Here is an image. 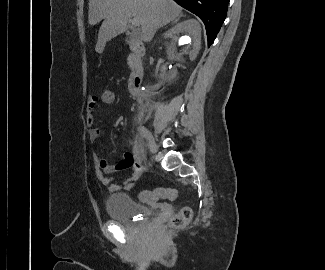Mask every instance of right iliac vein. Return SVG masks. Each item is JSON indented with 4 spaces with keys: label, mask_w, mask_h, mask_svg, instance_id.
<instances>
[{
    "label": "right iliac vein",
    "mask_w": 325,
    "mask_h": 270,
    "mask_svg": "<svg viewBox=\"0 0 325 270\" xmlns=\"http://www.w3.org/2000/svg\"><path fill=\"white\" fill-rule=\"evenodd\" d=\"M146 140L148 143V147L152 153H155L157 151V144L154 140V137L150 131H146Z\"/></svg>",
    "instance_id": "right-iliac-vein-1"
}]
</instances>
